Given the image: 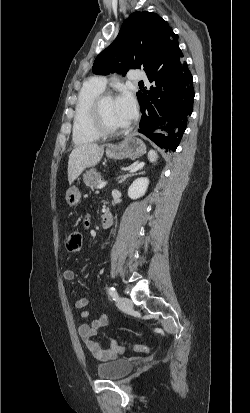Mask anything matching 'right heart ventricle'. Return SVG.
<instances>
[{
    "label": "right heart ventricle",
    "mask_w": 250,
    "mask_h": 413,
    "mask_svg": "<svg viewBox=\"0 0 250 413\" xmlns=\"http://www.w3.org/2000/svg\"><path fill=\"white\" fill-rule=\"evenodd\" d=\"M103 90L94 81H88L78 93L72 129V138L77 145L93 143L101 137L93 125L91 108L93 101Z\"/></svg>",
    "instance_id": "obj_1"
}]
</instances>
